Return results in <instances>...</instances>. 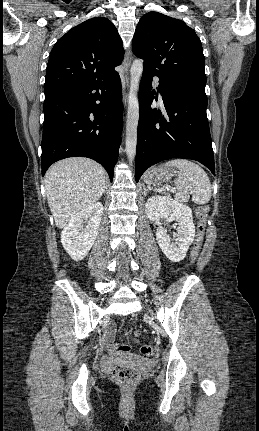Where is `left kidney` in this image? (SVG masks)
I'll use <instances>...</instances> for the list:
<instances>
[{
	"instance_id": "left-kidney-1",
	"label": "left kidney",
	"mask_w": 259,
	"mask_h": 431,
	"mask_svg": "<svg viewBox=\"0 0 259 431\" xmlns=\"http://www.w3.org/2000/svg\"><path fill=\"white\" fill-rule=\"evenodd\" d=\"M145 207L150 221L159 220L160 218L177 221V233L174 235L172 242L162 226H159L156 230V239L168 259L173 262L183 260L195 237L191 208L167 196H151L148 198Z\"/></svg>"
}]
</instances>
